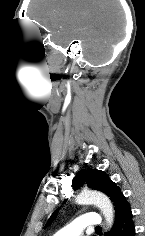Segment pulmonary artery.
I'll use <instances>...</instances> for the list:
<instances>
[{
	"label": "pulmonary artery",
	"mask_w": 145,
	"mask_h": 236,
	"mask_svg": "<svg viewBox=\"0 0 145 236\" xmlns=\"http://www.w3.org/2000/svg\"><path fill=\"white\" fill-rule=\"evenodd\" d=\"M102 223L98 214L86 213L57 231L54 236H81L86 227H97Z\"/></svg>",
	"instance_id": "1"
}]
</instances>
